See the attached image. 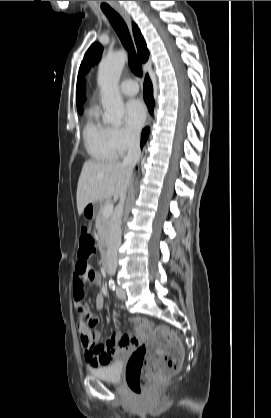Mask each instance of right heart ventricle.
I'll list each match as a JSON object with an SVG mask.
<instances>
[{
	"label": "right heart ventricle",
	"instance_id": "right-heart-ventricle-1",
	"mask_svg": "<svg viewBox=\"0 0 271 418\" xmlns=\"http://www.w3.org/2000/svg\"><path fill=\"white\" fill-rule=\"evenodd\" d=\"M83 140L87 153L97 161H110L117 158L111 142V127L103 123L96 109L89 110L83 128Z\"/></svg>",
	"mask_w": 271,
	"mask_h": 418
}]
</instances>
